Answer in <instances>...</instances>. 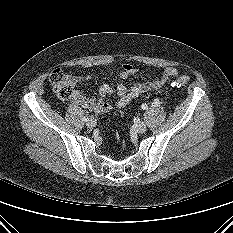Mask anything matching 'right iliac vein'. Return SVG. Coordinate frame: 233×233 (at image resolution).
Wrapping results in <instances>:
<instances>
[{"label":"right iliac vein","mask_w":233,"mask_h":233,"mask_svg":"<svg viewBox=\"0 0 233 233\" xmlns=\"http://www.w3.org/2000/svg\"><path fill=\"white\" fill-rule=\"evenodd\" d=\"M86 125L88 128H94L96 126V120L94 118H90Z\"/></svg>","instance_id":"63e3f726"}]
</instances>
